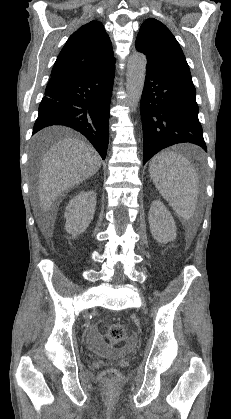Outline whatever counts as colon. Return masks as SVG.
<instances>
[{"mask_svg":"<svg viewBox=\"0 0 231 419\" xmlns=\"http://www.w3.org/2000/svg\"><path fill=\"white\" fill-rule=\"evenodd\" d=\"M126 328L121 323H113L107 330V338L110 344L117 345L126 337ZM100 379L106 387H113L117 382V371L113 368L105 369L100 374Z\"/></svg>","mask_w":231,"mask_h":419,"instance_id":"5ec220e1","label":"colon"}]
</instances>
